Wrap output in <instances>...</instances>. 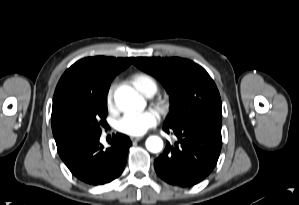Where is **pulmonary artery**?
Segmentation results:
<instances>
[{"label":"pulmonary artery","mask_w":299,"mask_h":205,"mask_svg":"<svg viewBox=\"0 0 299 205\" xmlns=\"http://www.w3.org/2000/svg\"><path fill=\"white\" fill-rule=\"evenodd\" d=\"M154 93L153 92H150L147 96H152Z\"/></svg>","instance_id":"1"}]
</instances>
